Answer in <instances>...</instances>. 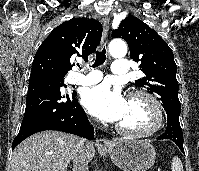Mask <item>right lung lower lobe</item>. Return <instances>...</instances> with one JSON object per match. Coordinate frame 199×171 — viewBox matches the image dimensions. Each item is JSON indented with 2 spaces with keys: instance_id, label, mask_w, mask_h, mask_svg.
Instances as JSON below:
<instances>
[{
  "instance_id": "98d812e1",
  "label": "right lung lower lobe",
  "mask_w": 199,
  "mask_h": 171,
  "mask_svg": "<svg viewBox=\"0 0 199 171\" xmlns=\"http://www.w3.org/2000/svg\"><path fill=\"white\" fill-rule=\"evenodd\" d=\"M61 87L53 79L29 80L25 114L12 149L28 136L44 130L63 131L89 140L94 138L93 126L78 104L76 94L62 96Z\"/></svg>"
}]
</instances>
